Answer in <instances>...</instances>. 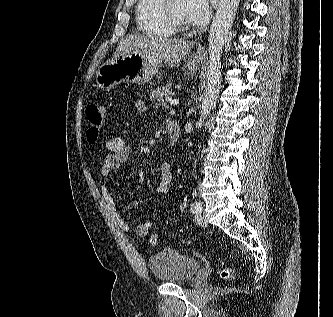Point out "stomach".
Listing matches in <instances>:
<instances>
[{"instance_id": "stomach-1", "label": "stomach", "mask_w": 333, "mask_h": 317, "mask_svg": "<svg viewBox=\"0 0 333 317\" xmlns=\"http://www.w3.org/2000/svg\"><path fill=\"white\" fill-rule=\"evenodd\" d=\"M200 58L192 56L187 63V74L199 69ZM161 62L149 59L140 53H131L106 61L96 73V84L102 90H110L121 81L143 83L159 72Z\"/></svg>"}]
</instances>
